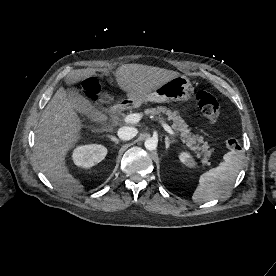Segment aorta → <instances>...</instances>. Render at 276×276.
Here are the masks:
<instances>
[{
    "label": "aorta",
    "mask_w": 276,
    "mask_h": 276,
    "mask_svg": "<svg viewBox=\"0 0 276 276\" xmlns=\"http://www.w3.org/2000/svg\"><path fill=\"white\" fill-rule=\"evenodd\" d=\"M157 140L153 139V138H148L145 140V148L149 151H154L157 148Z\"/></svg>",
    "instance_id": "obj_1"
}]
</instances>
